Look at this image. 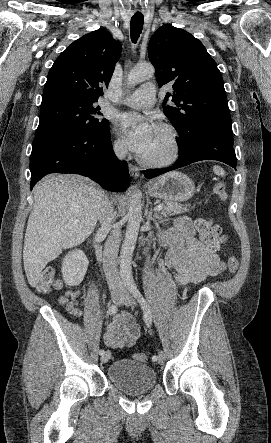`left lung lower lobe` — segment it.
<instances>
[{"label":"left lung lower lobe","instance_id":"1","mask_svg":"<svg viewBox=\"0 0 271 443\" xmlns=\"http://www.w3.org/2000/svg\"><path fill=\"white\" fill-rule=\"evenodd\" d=\"M178 160L168 168L148 169V179L201 160H217L236 169L237 159L233 149L231 123L206 119L193 127L184 137L177 139Z\"/></svg>","mask_w":271,"mask_h":443}]
</instances>
